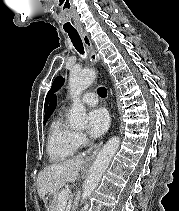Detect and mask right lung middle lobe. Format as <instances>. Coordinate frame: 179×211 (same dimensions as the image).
<instances>
[{
    "mask_svg": "<svg viewBox=\"0 0 179 211\" xmlns=\"http://www.w3.org/2000/svg\"><path fill=\"white\" fill-rule=\"evenodd\" d=\"M47 120H48V118H45V119H44V123H46V122H47Z\"/></svg>",
    "mask_w": 179,
    "mask_h": 211,
    "instance_id": "obj_1",
    "label": "right lung middle lobe"
}]
</instances>
